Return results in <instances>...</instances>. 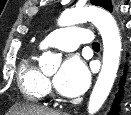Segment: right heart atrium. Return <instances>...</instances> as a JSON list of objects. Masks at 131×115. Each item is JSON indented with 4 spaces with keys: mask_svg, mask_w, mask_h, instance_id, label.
Instances as JSON below:
<instances>
[{
    "mask_svg": "<svg viewBox=\"0 0 131 115\" xmlns=\"http://www.w3.org/2000/svg\"><path fill=\"white\" fill-rule=\"evenodd\" d=\"M46 88H48V84H47V82H46Z\"/></svg>",
    "mask_w": 131,
    "mask_h": 115,
    "instance_id": "obj_1",
    "label": "right heart atrium"
}]
</instances>
